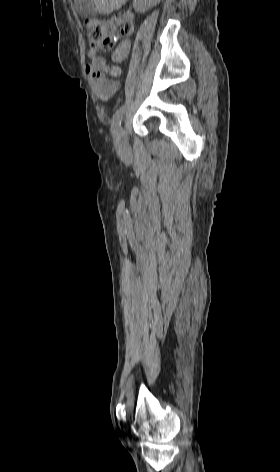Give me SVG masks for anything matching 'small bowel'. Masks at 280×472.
<instances>
[{
    "mask_svg": "<svg viewBox=\"0 0 280 472\" xmlns=\"http://www.w3.org/2000/svg\"><path fill=\"white\" fill-rule=\"evenodd\" d=\"M130 46L129 40L122 41L112 55V63L107 62L99 49L88 52L90 62L86 64L85 72L91 90L101 100H109L118 91L120 84L117 78L121 75V69L117 63L127 57Z\"/></svg>",
    "mask_w": 280,
    "mask_h": 472,
    "instance_id": "small-bowel-1",
    "label": "small bowel"
}]
</instances>
